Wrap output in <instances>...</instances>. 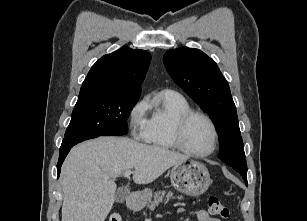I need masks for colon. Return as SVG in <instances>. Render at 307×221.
<instances>
[{
    "mask_svg": "<svg viewBox=\"0 0 307 221\" xmlns=\"http://www.w3.org/2000/svg\"><path fill=\"white\" fill-rule=\"evenodd\" d=\"M208 206L209 211L212 215L219 216L222 218H228L229 210L218 197H209ZM108 221H121V217L119 215H112L108 218Z\"/></svg>",
    "mask_w": 307,
    "mask_h": 221,
    "instance_id": "1",
    "label": "colon"
}]
</instances>
